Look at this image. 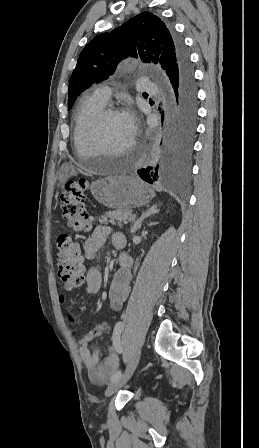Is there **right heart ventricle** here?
Returning a JSON list of instances; mask_svg holds the SVG:
<instances>
[{
    "mask_svg": "<svg viewBox=\"0 0 259 448\" xmlns=\"http://www.w3.org/2000/svg\"><path fill=\"white\" fill-rule=\"evenodd\" d=\"M106 103L99 100L94 93V90L87 92L81 105L76 113L73 127V145L74 148H81L82 150L90 149L86 141V133L90 127L92 120L96 114L104 108Z\"/></svg>",
    "mask_w": 259,
    "mask_h": 448,
    "instance_id": "1",
    "label": "right heart ventricle"
}]
</instances>
